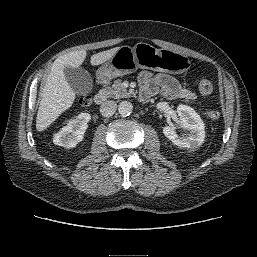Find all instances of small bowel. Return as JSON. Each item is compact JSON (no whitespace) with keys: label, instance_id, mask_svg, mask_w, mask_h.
I'll use <instances>...</instances> for the list:
<instances>
[{"label":"small bowel","instance_id":"obj_1","mask_svg":"<svg viewBox=\"0 0 257 257\" xmlns=\"http://www.w3.org/2000/svg\"><path fill=\"white\" fill-rule=\"evenodd\" d=\"M139 84L142 101H147L158 94L169 100L196 98V93L192 88L182 86L177 78L164 73L143 71L139 75Z\"/></svg>","mask_w":257,"mask_h":257}]
</instances>
